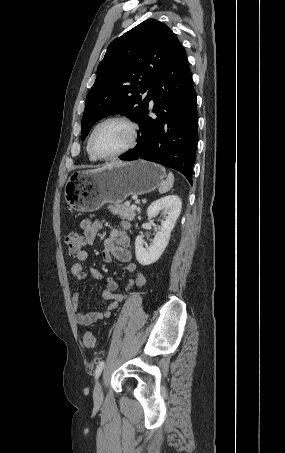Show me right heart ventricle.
I'll list each match as a JSON object with an SVG mask.
<instances>
[{"label": "right heart ventricle", "instance_id": "e07e8e85", "mask_svg": "<svg viewBox=\"0 0 285 453\" xmlns=\"http://www.w3.org/2000/svg\"><path fill=\"white\" fill-rule=\"evenodd\" d=\"M87 153H88V156H89V159L91 161H96L97 159L91 154L90 150H89V145L87 143Z\"/></svg>", "mask_w": 285, "mask_h": 453}]
</instances>
